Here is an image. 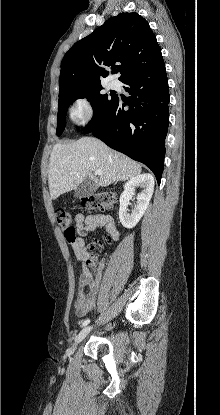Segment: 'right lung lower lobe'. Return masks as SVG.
<instances>
[{
  "mask_svg": "<svg viewBox=\"0 0 220 415\" xmlns=\"http://www.w3.org/2000/svg\"><path fill=\"white\" fill-rule=\"evenodd\" d=\"M122 82L131 95L115 97L106 119L92 133L109 147L144 163L160 184L169 123V89L164 61ZM128 106V110L123 108Z\"/></svg>",
  "mask_w": 220,
  "mask_h": 415,
  "instance_id": "1",
  "label": "right lung lower lobe"
}]
</instances>
